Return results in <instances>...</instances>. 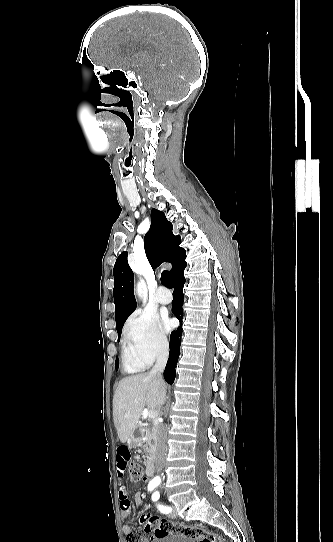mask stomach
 <instances>
[{"instance_id": "0dacf381", "label": "stomach", "mask_w": 333, "mask_h": 542, "mask_svg": "<svg viewBox=\"0 0 333 542\" xmlns=\"http://www.w3.org/2000/svg\"><path fill=\"white\" fill-rule=\"evenodd\" d=\"M141 442H142V434L138 430V432H134L133 436H131L127 444L129 448H139V446H141Z\"/></svg>"}]
</instances>
